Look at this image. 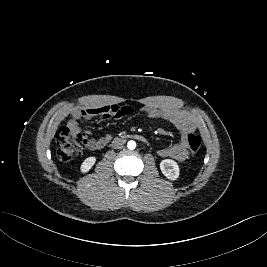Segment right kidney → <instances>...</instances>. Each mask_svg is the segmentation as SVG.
Instances as JSON below:
<instances>
[{
	"label": "right kidney",
	"mask_w": 267,
	"mask_h": 267,
	"mask_svg": "<svg viewBox=\"0 0 267 267\" xmlns=\"http://www.w3.org/2000/svg\"><path fill=\"white\" fill-rule=\"evenodd\" d=\"M95 162H96V158L93 156L86 158L81 164V167H80L81 172L83 173L88 172L92 168V166L95 164Z\"/></svg>",
	"instance_id": "1"
}]
</instances>
